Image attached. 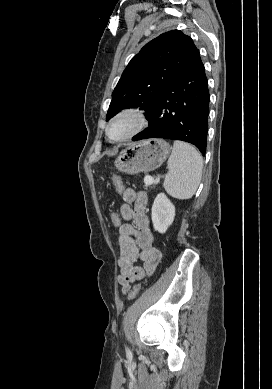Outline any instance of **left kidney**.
<instances>
[{
	"label": "left kidney",
	"mask_w": 272,
	"mask_h": 389,
	"mask_svg": "<svg viewBox=\"0 0 272 389\" xmlns=\"http://www.w3.org/2000/svg\"><path fill=\"white\" fill-rule=\"evenodd\" d=\"M175 217V206L164 193H159L152 205L153 227L159 233H165L173 223Z\"/></svg>",
	"instance_id": "left-kidney-1"
}]
</instances>
